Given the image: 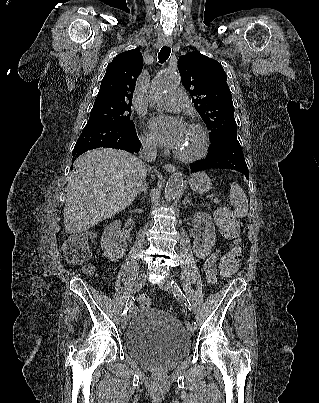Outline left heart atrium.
<instances>
[{
  "label": "left heart atrium",
  "mask_w": 319,
  "mask_h": 403,
  "mask_svg": "<svg viewBox=\"0 0 319 403\" xmlns=\"http://www.w3.org/2000/svg\"><path fill=\"white\" fill-rule=\"evenodd\" d=\"M150 130L157 142L172 149L179 148L185 135L184 124L173 117L153 118L150 121Z\"/></svg>",
  "instance_id": "obj_1"
}]
</instances>
